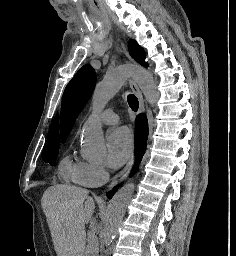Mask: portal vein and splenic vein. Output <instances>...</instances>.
<instances>
[{"label":"portal vein and splenic vein","mask_w":236,"mask_h":256,"mask_svg":"<svg viewBox=\"0 0 236 256\" xmlns=\"http://www.w3.org/2000/svg\"><path fill=\"white\" fill-rule=\"evenodd\" d=\"M91 228H97V224H91Z\"/></svg>","instance_id":"portal-vein-and-splenic-vein-1"}]
</instances>
